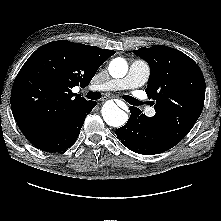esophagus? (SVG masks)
Returning <instances> with one entry per match:
<instances>
[{"mask_svg": "<svg viewBox=\"0 0 221 221\" xmlns=\"http://www.w3.org/2000/svg\"><path fill=\"white\" fill-rule=\"evenodd\" d=\"M107 99V97H103L101 101H106ZM118 104H120L121 106H125V104L122 101H118Z\"/></svg>", "mask_w": 221, "mask_h": 221, "instance_id": "esophagus-1", "label": "esophagus"}]
</instances>
